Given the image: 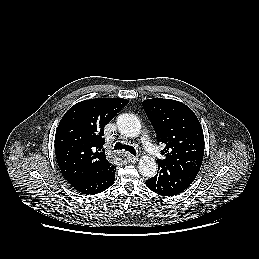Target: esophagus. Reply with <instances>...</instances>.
I'll return each instance as SVG.
<instances>
[{"label":"esophagus","mask_w":259,"mask_h":259,"mask_svg":"<svg viewBox=\"0 0 259 259\" xmlns=\"http://www.w3.org/2000/svg\"><path fill=\"white\" fill-rule=\"evenodd\" d=\"M127 160H128L129 162H131V163H135V162L138 161V157L128 154V155H127Z\"/></svg>","instance_id":"1"}]
</instances>
